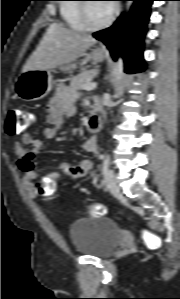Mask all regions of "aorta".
Instances as JSON below:
<instances>
[{
    "label": "aorta",
    "instance_id": "1",
    "mask_svg": "<svg viewBox=\"0 0 180 299\" xmlns=\"http://www.w3.org/2000/svg\"><path fill=\"white\" fill-rule=\"evenodd\" d=\"M132 3H133L132 1H127L126 8L129 9L131 7ZM123 70H124V62H123V59L121 57H119L115 63V68L113 71V75L115 77L116 82H118L122 79Z\"/></svg>",
    "mask_w": 180,
    "mask_h": 299
}]
</instances>
